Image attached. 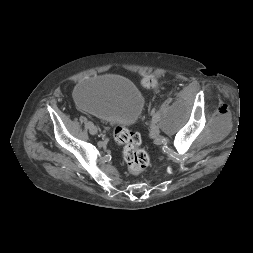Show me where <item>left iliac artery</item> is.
Wrapping results in <instances>:
<instances>
[{
    "label": "left iliac artery",
    "instance_id": "1",
    "mask_svg": "<svg viewBox=\"0 0 253 253\" xmlns=\"http://www.w3.org/2000/svg\"><path fill=\"white\" fill-rule=\"evenodd\" d=\"M160 120V115L155 112V109L152 110V121L157 123Z\"/></svg>",
    "mask_w": 253,
    "mask_h": 253
}]
</instances>
